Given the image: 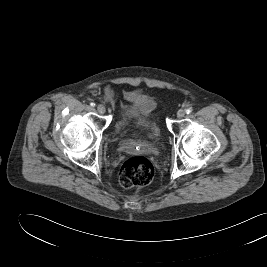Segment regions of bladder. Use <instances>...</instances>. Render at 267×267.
<instances>
[{"label":"bladder","mask_w":267,"mask_h":267,"mask_svg":"<svg viewBox=\"0 0 267 267\" xmlns=\"http://www.w3.org/2000/svg\"><path fill=\"white\" fill-rule=\"evenodd\" d=\"M119 148L125 153H157L162 148V139L160 131L154 128L153 139L150 141H137L132 138L123 137L119 142Z\"/></svg>","instance_id":"obj_1"}]
</instances>
